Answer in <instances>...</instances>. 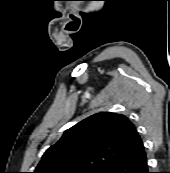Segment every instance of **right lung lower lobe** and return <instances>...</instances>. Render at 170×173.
<instances>
[{"instance_id":"1","label":"right lung lower lobe","mask_w":170,"mask_h":173,"mask_svg":"<svg viewBox=\"0 0 170 173\" xmlns=\"http://www.w3.org/2000/svg\"><path fill=\"white\" fill-rule=\"evenodd\" d=\"M102 173H150L144 146L131 156L110 165Z\"/></svg>"}]
</instances>
